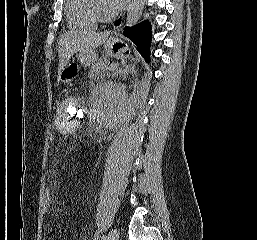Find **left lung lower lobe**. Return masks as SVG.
Instances as JSON below:
<instances>
[{
    "label": "left lung lower lobe",
    "mask_w": 257,
    "mask_h": 240,
    "mask_svg": "<svg viewBox=\"0 0 257 240\" xmlns=\"http://www.w3.org/2000/svg\"><path fill=\"white\" fill-rule=\"evenodd\" d=\"M121 19L114 24L118 26ZM123 34L128 37L137 47L139 53L149 61L150 58V43H151V26L148 21H144L135 26L125 27Z\"/></svg>",
    "instance_id": "obj_1"
}]
</instances>
